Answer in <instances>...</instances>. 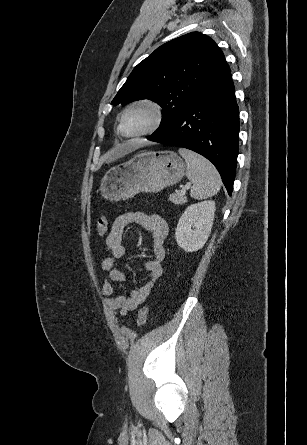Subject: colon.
<instances>
[{
  "label": "colon",
  "mask_w": 307,
  "mask_h": 445,
  "mask_svg": "<svg viewBox=\"0 0 307 445\" xmlns=\"http://www.w3.org/2000/svg\"><path fill=\"white\" fill-rule=\"evenodd\" d=\"M108 225H109V220H108L107 216L102 215L97 218L96 230H97V234L100 237H103L106 234V232L108 230ZM148 312H149L148 306H144L139 310L138 318H137V325L139 327H142L145 324V322L147 320Z\"/></svg>",
  "instance_id": "obj_1"
}]
</instances>
